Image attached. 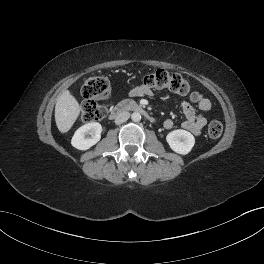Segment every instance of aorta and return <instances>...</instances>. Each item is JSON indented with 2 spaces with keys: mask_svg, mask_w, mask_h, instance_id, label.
<instances>
[{
  "mask_svg": "<svg viewBox=\"0 0 264 264\" xmlns=\"http://www.w3.org/2000/svg\"><path fill=\"white\" fill-rule=\"evenodd\" d=\"M131 119L133 122H139L141 120V115L138 112H133L131 115Z\"/></svg>",
  "mask_w": 264,
  "mask_h": 264,
  "instance_id": "aorta-1",
  "label": "aorta"
}]
</instances>
